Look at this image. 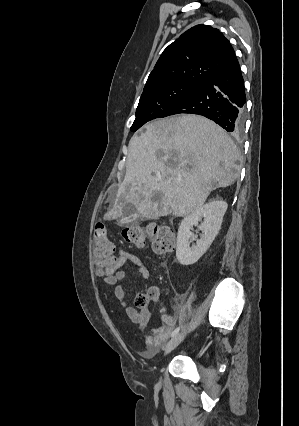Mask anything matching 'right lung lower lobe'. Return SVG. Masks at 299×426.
<instances>
[{
  "label": "right lung lower lobe",
  "instance_id": "98d812e1",
  "mask_svg": "<svg viewBox=\"0 0 299 426\" xmlns=\"http://www.w3.org/2000/svg\"><path fill=\"white\" fill-rule=\"evenodd\" d=\"M245 103L244 81L236 61L171 106L160 118L180 113L198 114L213 120L228 132L239 133L243 127Z\"/></svg>",
  "mask_w": 299,
  "mask_h": 426
}]
</instances>
